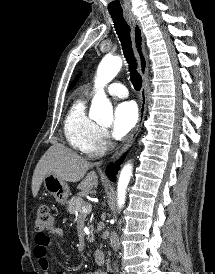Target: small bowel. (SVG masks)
<instances>
[{
  "mask_svg": "<svg viewBox=\"0 0 215 274\" xmlns=\"http://www.w3.org/2000/svg\"><path fill=\"white\" fill-rule=\"evenodd\" d=\"M58 236L63 237L64 231L61 228H53L47 233H37L35 235V248L34 254L38 260L40 268L48 274L50 270V263L48 259V247L51 244V237ZM56 274H65L64 272H57ZM87 274H105L100 270L92 271Z\"/></svg>",
  "mask_w": 215,
  "mask_h": 274,
  "instance_id": "1",
  "label": "small bowel"
}]
</instances>
